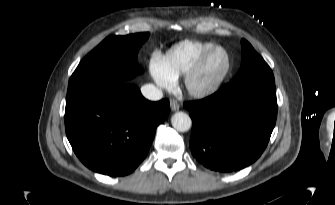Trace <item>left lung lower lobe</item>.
<instances>
[{"label": "left lung lower lobe", "instance_id": "left-lung-lower-lobe-1", "mask_svg": "<svg viewBox=\"0 0 335 205\" xmlns=\"http://www.w3.org/2000/svg\"><path fill=\"white\" fill-rule=\"evenodd\" d=\"M184 107L192 118L190 149L208 169L233 172L265 150L277 118L275 83L230 81L213 95Z\"/></svg>", "mask_w": 335, "mask_h": 205}]
</instances>
